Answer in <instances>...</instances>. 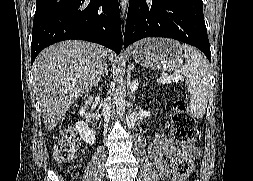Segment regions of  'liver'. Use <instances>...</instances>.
Instances as JSON below:
<instances>
[{"instance_id":"obj_1","label":"liver","mask_w":253,"mask_h":181,"mask_svg":"<svg viewBox=\"0 0 253 181\" xmlns=\"http://www.w3.org/2000/svg\"><path fill=\"white\" fill-rule=\"evenodd\" d=\"M110 52L85 41H63L44 49L33 64V82L46 129H54L74 102L96 86Z\"/></svg>"}]
</instances>
